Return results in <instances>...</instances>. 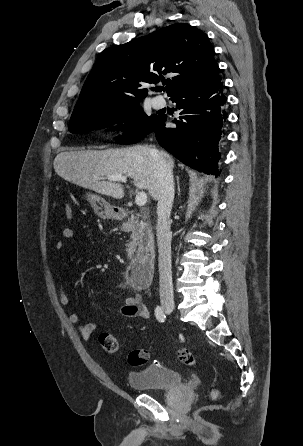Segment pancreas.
I'll return each instance as SVG.
<instances>
[{"mask_svg": "<svg viewBox=\"0 0 303 446\" xmlns=\"http://www.w3.org/2000/svg\"><path fill=\"white\" fill-rule=\"evenodd\" d=\"M122 229L131 233L126 244L128 258H133L135 253L141 255L154 250V235L145 218L139 220V217L131 216L122 224Z\"/></svg>", "mask_w": 303, "mask_h": 446, "instance_id": "obj_1", "label": "pancreas"}]
</instances>
